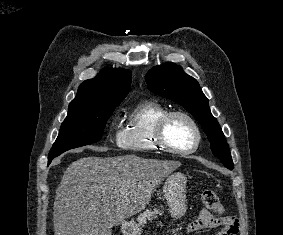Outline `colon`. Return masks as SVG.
Listing matches in <instances>:
<instances>
[{
    "label": "colon",
    "instance_id": "5ec220e1",
    "mask_svg": "<svg viewBox=\"0 0 283 235\" xmlns=\"http://www.w3.org/2000/svg\"><path fill=\"white\" fill-rule=\"evenodd\" d=\"M201 197L205 206L217 213H223V206L217 196V194L211 189H204L201 193Z\"/></svg>",
    "mask_w": 283,
    "mask_h": 235
}]
</instances>
